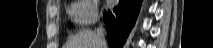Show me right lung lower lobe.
Instances as JSON below:
<instances>
[{
	"instance_id": "98d812e1",
	"label": "right lung lower lobe",
	"mask_w": 213,
	"mask_h": 48,
	"mask_svg": "<svg viewBox=\"0 0 213 48\" xmlns=\"http://www.w3.org/2000/svg\"><path fill=\"white\" fill-rule=\"evenodd\" d=\"M142 0H119L112 11H104L110 48H122L137 18Z\"/></svg>"
}]
</instances>
